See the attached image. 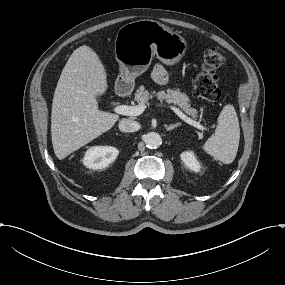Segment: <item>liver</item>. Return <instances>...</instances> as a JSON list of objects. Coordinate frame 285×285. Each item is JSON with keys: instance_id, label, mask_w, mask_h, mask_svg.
Listing matches in <instances>:
<instances>
[{"instance_id": "liver-1", "label": "liver", "mask_w": 285, "mask_h": 285, "mask_svg": "<svg viewBox=\"0 0 285 285\" xmlns=\"http://www.w3.org/2000/svg\"><path fill=\"white\" fill-rule=\"evenodd\" d=\"M107 79V69L94 49L83 45L74 50L52 105L51 139L58 160L97 139L120 120L119 115L98 110V98L109 89Z\"/></svg>"}]
</instances>
